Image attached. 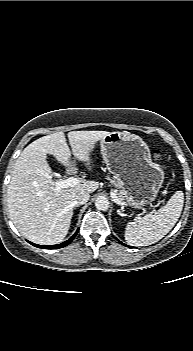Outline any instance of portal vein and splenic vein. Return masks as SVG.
<instances>
[{"instance_id":"18ae733b","label":"portal vein and splenic vein","mask_w":193,"mask_h":351,"mask_svg":"<svg viewBox=\"0 0 193 351\" xmlns=\"http://www.w3.org/2000/svg\"><path fill=\"white\" fill-rule=\"evenodd\" d=\"M78 183H80V180L78 178L69 177L68 179L55 181L53 184L55 185V191H60L61 189H64V188L73 187ZM111 197L113 198V201L115 203L123 205L119 200V198L117 197L116 193L111 192Z\"/></svg>"}]
</instances>
